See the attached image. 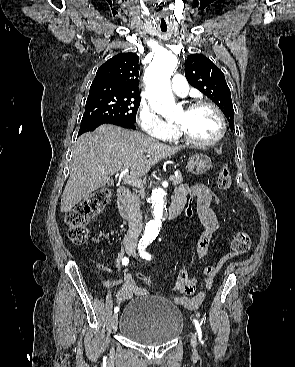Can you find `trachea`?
Here are the masks:
<instances>
[{"instance_id": "trachea-1", "label": "trachea", "mask_w": 295, "mask_h": 367, "mask_svg": "<svg viewBox=\"0 0 295 367\" xmlns=\"http://www.w3.org/2000/svg\"><path fill=\"white\" fill-rule=\"evenodd\" d=\"M161 31H162V32H166V31H167V27H162V26H161Z\"/></svg>"}]
</instances>
